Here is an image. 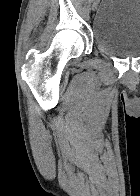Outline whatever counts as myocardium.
I'll return each mask as SVG.
<instances>
[{
    "label": "myocardium",
    "mask_w": 140,
    "mask_h": 196,
    "mask_svg": "<svg viewBox=\"0 0 140 196\" xmlns=\"http://www.w3.org/2000/svg\"><path fill=\"white\" fill-rule=\"evenodd\" d=\"M88 192H103V191H88ZM122 192H126V191H122Z\"/></svg>",
    "instance_id": "myocardium-1"
}]
</instances>
